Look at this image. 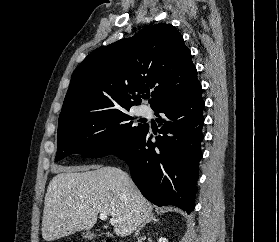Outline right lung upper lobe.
I'll return each instance as SVG.
<instances>
[{
    "mask_svg": "<svg viewBox=\"0 0 279 242\" xmlns=\"http://www.w3.org/2000/svg\"><path fill=\"white\" fill-rule=\"evenodd\" d=\"M199 85L182 35L171 24H156L98 48L82 61L71 77L59 124L128 111L151 88L155 110Z\"/></svg>",
    "mask_w": 279,
    "mask_h": 242,
    "instance_id": "right-lung-upper-lobe-1",
    "label": "right lung upper lobe"
}]
</instances>
